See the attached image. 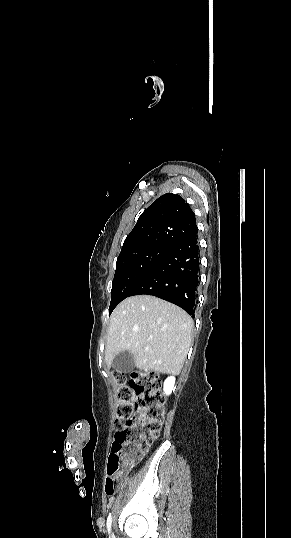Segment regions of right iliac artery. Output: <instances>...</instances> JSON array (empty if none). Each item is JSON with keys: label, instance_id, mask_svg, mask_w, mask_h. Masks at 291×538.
Listing matches in <instances>:
<instances>
[{"label": "right iliac artery", "instance_id": "1", "mask_svg": "<svg viewBox=\"0 0 291 538\" xmlns=\"http://www.w3.org/2000/svg\"><path fill=\"white\" fill-rule=\"evenodd\" d=\"M111 523H112V515L109 514V516L107 518V530H108L109 533H110V530H111Z\"/></svg>", "mask_w": 291, "mask_h": 538}]
</instances>
